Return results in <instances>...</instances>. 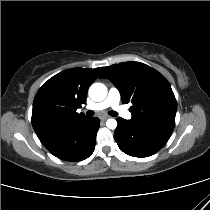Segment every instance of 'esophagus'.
I'll return each mask as SVG.
<instances>
[{
	"instance_id": "obj_1",
	"label": "esophagus",
	"mask_w": 210,
	"mask_h": 210,
	"mask_svg": "<svg viewBox=\"0 0 210 210\" xmlns=\"http://www.w3.org/2000/svg\"><path fill=\"white\" fill-rule=\"evenodd\" d=\"M108 118H109V116H107V115H103V116H101V118H100V119H101L102 121H105V120H107Z\"/></svg>"
}]
</instances>
